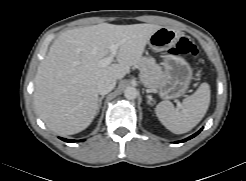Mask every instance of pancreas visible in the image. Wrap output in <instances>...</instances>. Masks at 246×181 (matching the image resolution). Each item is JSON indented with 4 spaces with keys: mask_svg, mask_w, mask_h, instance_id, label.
Segmentation results:
<instances>
[{
    "mask_svg": "<svg viewBox=\"0 0 246 181\" xmlns=\"http://www.w3.org/2000/svg\"><path fill=\"white\" fill-rule=\"evenodd\" d=\"M137 67L140 70V79L142 83L152 90L164 77L162 68L156 64L155 59L152 57H143L138 62Z\"/></svg>",
    "mask_w": 246,
    "mask_h": 181,
    "instance_id": "1",
    "label": "pancreas"
}]
</instances>
